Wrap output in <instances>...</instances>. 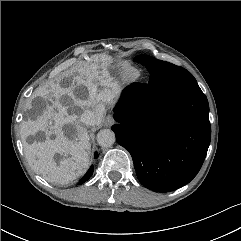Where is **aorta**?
Returning a JSON list of instances; mask_svg holds the SVG:
<instances>
[{"instance_id": "762f6f07", "label": "aorta", "mask_w": 241, "mask_h": 241, "mask_svg": "<svg viewBox=\"0 0 241 241\" xmlns=\"http://www.w3.org/2000/svg\"><path fill=\"white\" fill-rule=\"evenodd\" d=\"M115 142V134L110 129H102L97 134V143L101 147H110Z\"/></svg>"}]
</instances>
